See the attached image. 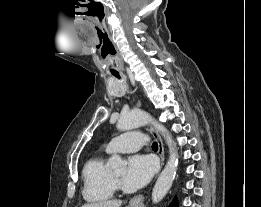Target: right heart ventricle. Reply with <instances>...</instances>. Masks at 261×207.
<instances>
[{"label": "right heart ventricle", "mask_w": 261, "mask_h": 207, "mask_svg": "<svg viewBox=\"0 0 261 207\" xmlns=\"http://www.w3.org/2000/svg\"><path fill=\"white\" fill-rule=\"evenodd\" d=\"M82 178V194L86 201L101 202L113 197L116 184L107 165L106 155H97L89 159L83 167Z\"/></svg>", "instance_id": "right-heart-ventricle-1"}]
</instances>
